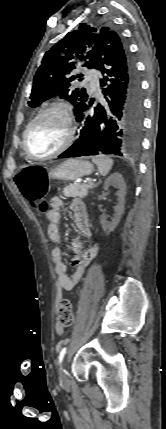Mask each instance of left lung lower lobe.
<instances>
[{"instance_id": "1", "label": "left lung lower lobe", "mask_w": 166, "mask_h": 429, "mask_svg": "<svg viewBox=\"0 0 166 429\" xmlns=\"http://www.w3.org/2000/svg\"><path fill=\"white\" fill-rule=\"evenodd\" d=\"M94 68L100 70L105 99L87 115L88 99L77 113L78 139L59 158L138 152L143 127V97L134 60L120 36L100 47ZM90 105L92 102H89Z\"/></svg>"}]
</instances>
